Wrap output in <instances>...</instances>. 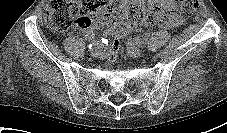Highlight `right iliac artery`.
Masks as SVG:
<instances>
[{"mask_svg":"<svg viewBox=\"0 0 227 133\" xmlns=\"http://www.w3.org/2000/svg\"><path fill=\"white\" fill-rule=\"evenodd\" d=\"M107 44L105 43H91L88 45V48L91 50V49H104L106 47Z\"/></svg>","mask_w":227,"mask_h":133,"instance_id":"1","label":"right iliac artery"}]
</instances>
